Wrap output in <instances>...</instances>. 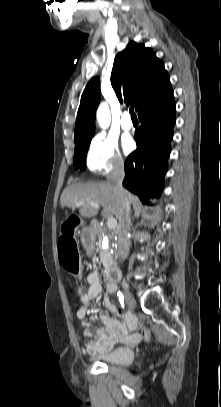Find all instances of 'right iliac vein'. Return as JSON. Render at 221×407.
Masks as SVG:
<instances>
[{"label": "right iliac vein", "mask_w": 221, "mask_h": 407, "mask_svg": "<svg viewBox=\"0 0 221 407\" xmlns=\"http://www.w3.org/2000/svg\"><path fill=\"white\" fill-rule=\"evenodd\" d=\"M124 296H125V301H126L127 307L130 310L134 309L136 306V301H135L134 297L132 296V294L130 293V291L126 287H124Z\"/></svg>", "instance_id": "1"}]
</instances>
